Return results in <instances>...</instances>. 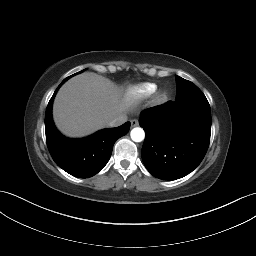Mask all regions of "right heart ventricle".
I'll return each mask as SVG.
<instances>
[{"instance_id": "e07e8e85", "label": "right heart ventricle", "mask_w": 256, "mask_h": 256, "mask_svg": "<svg viewBox=\"0 0 256 256\" xmlns=\"http://www.w3.org/2000/svg\"><path fill=\"white\" fill-rule=\"evenodd\" d=\"M157 89V86L153 83H145L141 85L134 86L128 90L129 98H141L147 97L153 94Z\"/></svg>"}]
</instances>
